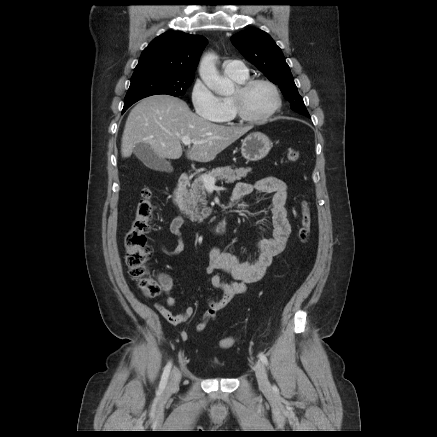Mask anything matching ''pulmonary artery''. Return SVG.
<instances>
[{
  "label": "pulmonary artery",
  "mask_w": 437,
  "mask_h": 437,
  "mask_svg": "<svg viewBox=\"0 0 437 437\" xmlns=\"http://www.w3.org/2000/svg\"><path fill=\"white\" fill-rule=\"evenodd\" d=\"M222 67L229 76H244L247 74L245 65L239 60H226L223 62Z\"/></svg>",
  "instance_id": "pulmonary-artery-1"
}]
</instances>
